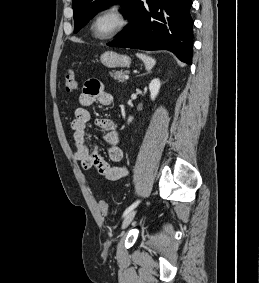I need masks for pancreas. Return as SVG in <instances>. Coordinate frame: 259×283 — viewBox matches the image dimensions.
Here are the masks:
<instances>
[{"label":"pancreas","instance_id":"obj_1","mask_svg":"<svg viewBox=\"0 0 259 283\" xmlns=\"http://www.w3.org/2000/svg\"><path fill=\"white\" fill-rule=\"evenodd\" d=\"M127 74V72H123V71H116L111 73V76L115 79L118 80L119 82H124L125 78L124 76Z\"/></svg>","mask_w":259,"mask_h":283}]
</instances>
